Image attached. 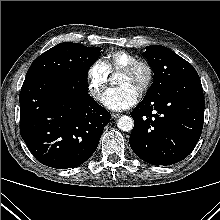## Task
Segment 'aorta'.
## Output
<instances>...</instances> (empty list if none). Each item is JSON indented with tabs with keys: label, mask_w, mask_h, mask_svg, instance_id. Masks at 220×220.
I'll use <instances>...</instances> for the list:
<instances>
[{
	"label": "aorta",
	"mask_w": 220,
	"mask_h": 220,
	"mask_svg": "<svg viewBox=\"0 0 220 220\" xmlns=\"http://www.w3.org/2000/svg\"><path fill=\"white\" fill-rule=\"evenodd\" d=\"M113 80L114 78H111V81ZM117 126L122 131H125V132L131 131L134 127L133 118L127 115H123L118 119Z\"/></svg>",
	"instance_id": "1"
}]
</instances>
